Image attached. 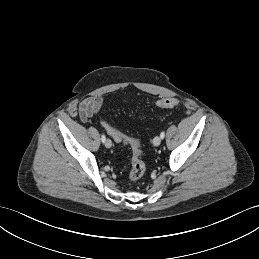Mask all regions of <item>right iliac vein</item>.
Segmentation results:
<instances>
[{"mask_svg":"<svg viewBox=\"0 0 259 259\" xmlns=\"http://www.w3.org/2000/svg\"><path fill=\"white\" fill-rule=\"evenodd\" d=\"M105 146H106L107 148H110V147L112 146V142H111L110 139H107V140L105 141Z\"/></svg>","mask_w":259,"mask_h":259,"instance_id":"obj_1","label":"right iliac vein"}]
</instances>
